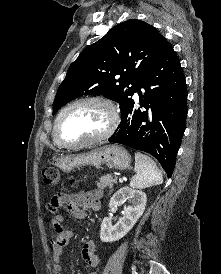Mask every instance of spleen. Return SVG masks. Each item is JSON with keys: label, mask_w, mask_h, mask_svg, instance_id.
<instances>
[{"label": "spleen", "mask_w": 221, "mask_h": 274, "mask_svg": "<svg viewBox=\"0 0 221 274\" xmlns=\"http://www.w3.org/2000/svg\"><path fill=\"white\" fill-rule=\"evenodd\" d=\"M135 172L130 181L132 188L145 189L163 181L162 173L156 163L140 152H135Z\"/></svg>", "instance_id": "3e777b00"}]
</instances>
